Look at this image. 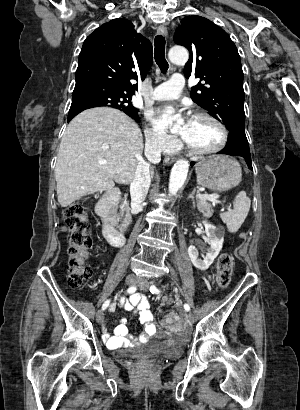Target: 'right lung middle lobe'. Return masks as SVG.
<instances>
[{"mask_svg":"<svg viewBox=\"0 0 300 410\" xmlns=\"http://www.w3.org/2000/svg\"><path fill=\"white\" fill-rule=\"evenodd\" d=\"M132 96L94 83H79L75 85L72 104L68 116L98 106L117 108L133 118L138 117V110L132 106Z\"/></svg>","mask_w":300,"mask_h":410,"instance_id":"1","label":"right lung middle lobe"}]
</instances>
